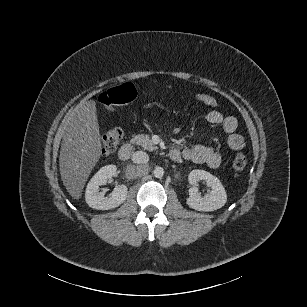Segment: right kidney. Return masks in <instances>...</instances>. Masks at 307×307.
<instances>
[{"instance_id": "1", "label": "right kidney", "mask_w": 307, "mask_h": 307, "mask_svg": "<svg viewBox=\"0 0 307 307\" xmlns=\"http://www.w3.org/2000/svg\"><path fill=\"white\" fill-rule=\"evenodd\" d=\"M117 175V167L115 165H107L102 167L89 181L86 192V203L97 210H108L121 205L127 197L128 189L125 185H118L113 192L105 197L103 192H99V186L105 185L108 179Z\"/></svg>"}]
</instances>
